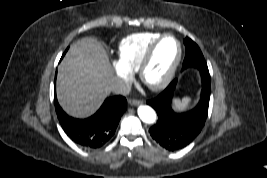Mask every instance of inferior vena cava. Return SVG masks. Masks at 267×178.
Returning a JSON list of instances; mask_svg holds the SVG:
<instances>
[{"label": "inferior vena cava", "instance_id": "602c4592", "mask_svg": "<svg viewBox=\"0 0 267 178\" xmlns=\"http://www.w3.org/2000/svg\"><path fill=\"white\" fill-rule=\"evenodd\" d=\"M109 91L120 94L128 95L131 90V85L128 82L123 81L122 79H115L107 88Z\"/></svg>", "mask_w": 267, "mask_h": 178}]
</instances>
